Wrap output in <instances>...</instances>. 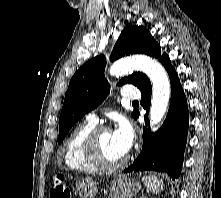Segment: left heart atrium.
I'll use <instances>...</instances> for the list:
<instances>
[{
    "label": "left heart atrium",
    "mask_w": 221,
    "mask_h": 198,
    "mask_svg": "<svg viewBox=\"0 0 221 198\" xmlns=\"http://www.w3.org/2000/svg\"><path fill=\"white\" fill-rule=\"evenodd\" d=\"M112 138L118 149L126 154L130 150L134 140V131L130 123L126 120L119 121L112 132Z\"/></svg>",
    "instance_id": "39dd6f15"
}]
</instances>
